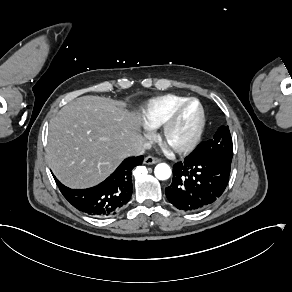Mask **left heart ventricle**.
<instances>
[{
	"instance_id": "left-heart-ventricle-1",
	"label": "left heart ventricle",
	"mask_w": 292,
	"mask_h": 292,
	"mask_svg": "<svg viewBox=\"0 0 292 292\" xmlns=\"http://www.w3.org/2000/svg\"><path fill=\"white\" fill-rule=\"evenodd\" d=\"M197 114L198 107L195 103L183 111L170 131V139L174 143H182L188 138L195 125Z\"/></svg>"
}]
</instances>
